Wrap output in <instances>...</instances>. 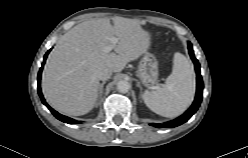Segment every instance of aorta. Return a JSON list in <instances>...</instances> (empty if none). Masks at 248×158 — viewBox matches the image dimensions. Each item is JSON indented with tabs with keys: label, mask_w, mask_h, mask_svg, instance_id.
Returning a JSON list of instances; mask_svg holds the SVG:
<instances>
[{
	"label": "aorta",
	"mask_w": 248,
	"mask_h": 158,
	"mask_svg": "<svg viewBox=\"0 0 248 158\" xmlns=\"http://www.w3.org/2000/svg\"><path fill=\"white\" fill-rule=\"evenodd\" d=\"M131 88V85L128 81L126 80H120L118 83H117V89L119 92L121 93H126L129 91V89Z\"/></svg>",
	"instance_id": "1"
}]
</instances>
